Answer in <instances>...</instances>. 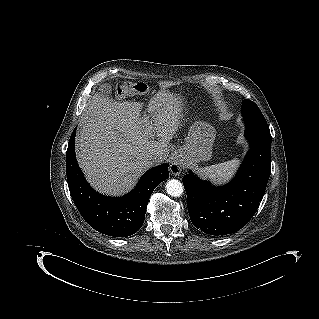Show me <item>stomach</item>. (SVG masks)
<instances>
[{"label":"stomach","instance_id":"0dacf381","mask_svg":"<svg viewBox=\"0 0 319 319\" xmlns=\"http://www.w3.org/2000/svg\"><path fill=\"white\" fill-rule=\"evenodd\" d=\"M216 131L210 124L195 121L188 132L185 145L179 154V163L195 166L210 159Z\"/></svg>","mask_w":319,"mask_h":319}]
</instances>
